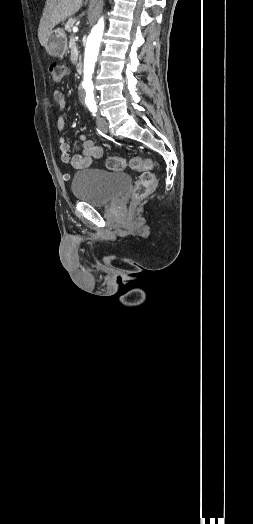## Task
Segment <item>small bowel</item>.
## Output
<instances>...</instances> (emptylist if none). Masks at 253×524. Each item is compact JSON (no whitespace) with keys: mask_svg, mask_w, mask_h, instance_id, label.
I'll return each mask as SVG.
<instances>
[{"mask_svg":"<svg viewBox=\"0 0 253 524\" xmlns=\"http://www.w3.org/2000/svg\"><path fill=\"white\" fill-rule=\"evenodd\" d=\"M54 97L59 109H64L67 105V100L63 93L60 91H55ZM56 128L59 134L64 132L65 120L63 117L58 118ZM79 140L82 143V152L81 154L71 156L69 143L63 136L59 138L61 160L62 162L70 165L75 170L86 169L90 166L94 159L101 158L103 155L102 147L96 145L85 134L79 135Z\"/></svg>","mask_w":253,"mask_h":524,"instance_id":"1","label":"small bowel"}]
</instances>
